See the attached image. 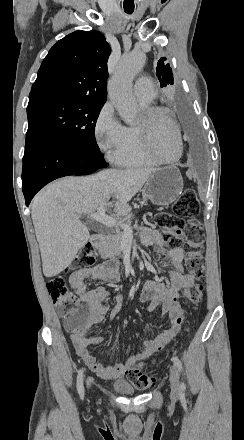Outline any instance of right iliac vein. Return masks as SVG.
Wrapping results in <instances>:
<instances>
[{"mask_svg":"<svg viewBox=\"0 0 244 440\" xmlns=\"http://www.w3.org/2000/svg\"><path fill=\"white\" fill-rule=\"evenodd\" d=\"M91 381L89 379L86 380L87 387L90 386Z\"/></svg>","mask_w":244,"mask_h":440,"instance_id":"right-iliac-vein-1","label":"right iliac vein"}]
</instances>
